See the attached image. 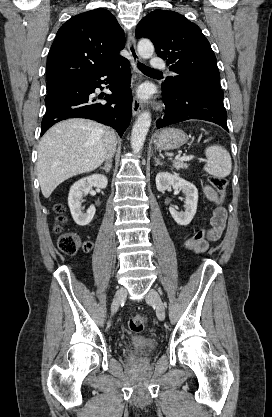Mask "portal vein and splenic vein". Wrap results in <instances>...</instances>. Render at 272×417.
<instances>
[{
  "mask_svg": "<svg viewBox=\"0 0 272 417\" xmlns=\"http://www.w3.org/2000/svg\"><path fill=\"white\" fill-rule=\"evenodd\" d=\"M194 158L193 155H183V156H176L175 160H179V161H189L192 160Z\"/></svg>",
  "mask_w": 272,
  "mask_h": 417,
  "instance_id": "obj_1",
  "label": "portal vein and splenic vein"
}]
</instances>
